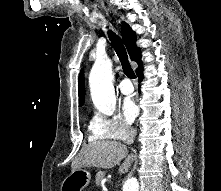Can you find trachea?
Here are the masks:
<instances>
[{
    "instance_id": "trachea-1",
    "label": "trachea",
    "mask_w": 221,
    "mask_h": 191,
    "mask_svg": "<svg viewBox=\"0 0 221 191\" xmlns=\"http://www.w3.org/2000/svg\"><path fill=\"white\" fill-rule=\"evenodd\" d=\"M108 36H109L112 46L114 47V49L120 59L124 73L130 79H135L136 75L130 66V63H129L128 57H127V53H126V49H125L121 39L112 30L108 31Z\"/></svg>"
}]
</instances>
